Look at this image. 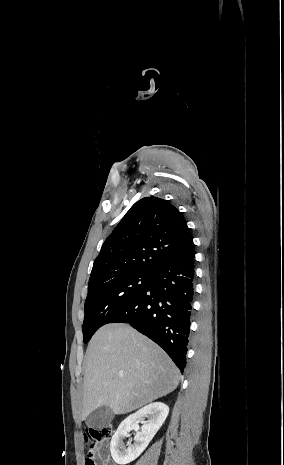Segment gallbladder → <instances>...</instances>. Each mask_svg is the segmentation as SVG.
Listing matches in <instances>:
<instances>
[{
    "mask_svg": "<svg viewBox=\"0 0 284 465\" xmlns=\"http://www.w3.org/2000/svg\"><path fill=\"white\" fill-rule=\"evenodd\" d=\"M114 419V413L108 407H99L93 413H90L88 417H86V425L90 427V429H103V427H107L111 421Z\"/></svg>",
    "mask_w": 284,
    "mask_h": 465,
    "instance_id": "gallbladder-1",
    "label": "gallbladder"
}]
</instances>
